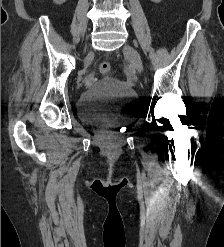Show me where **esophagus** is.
I'll use <instances>...</instances> for the list:
<instances>
[{
    "label": "esophagus",
    "instance_id": "34e87169",
    "mask_svg": "<svg viewBox=\"0 0 224 247\" xmlns=\"http://www.w3.org/2000/svg\"><path fill=\"white\" fill-rule=\"evenodd\" d=\"M103 66H104V63L101 64V68H104Z\"/></svg>",
    "mask_w": 224,
    "mask_h": 247
}]
</instances>
